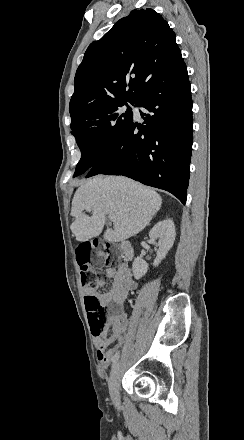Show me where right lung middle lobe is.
Listing matches in <instances>:
<instances>
[{
  "mask_svg": "<svg viewBox=\"0 0 244 440\" xmlns=\"http://www.w3.org/2000/svg\"><path fill=\"white\" fill-rule=\"evenodd\" d=\"M136 102V98H110L70 110L72 134L82 153L73 177L88 171L113 145L133 119L128 103Z\"/></svg>",
  "mask_w": 244,
  "mask_h": 440,
  "instance_id": "obj_1",
  "label": "right lung middle lobe"
}]
</instances>
